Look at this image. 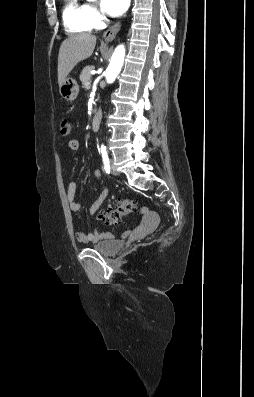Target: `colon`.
<instances>
[{
  "label": "colon",
  "mask_w": 254,
  "mask_h": 397,
  "mask_svg": "<svg viewBox=\"0 0 254 397\" xmlns=\"http://www.w3.org/2000/svg\"><path fill=\"white\" fill-rule=\"evenodd\" d=\"M71 132V124L67 119H62L60 122V134L61 136H68ZM139 208V203L136 199H124L118 206L105 212L102 215V220L109 225L117 224L120 220Z\"/></svg>",
  "instance_id": "colon-1"
}]
</instances>
